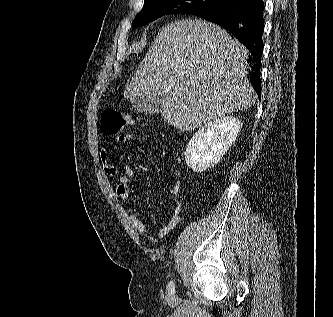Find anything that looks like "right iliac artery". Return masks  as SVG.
Instances as JSON below:
<instances>
[{
    "label": "right iliac artery",
    "instance_id": "obj_1",
    "mask_svg": "<svg viewBox=\"0 0 333 317\" xmlns=\"http://www.w3.org/2000/svg\"><path fill=\"white\" fill-rule=\"evenodd\" d=\"M167 291L168 293H174L175 292V286L174 282L170 281L167 285Z\"/></svg>",
    "mask_w": 333,
    "mask_h": 317
}]
</instances>
